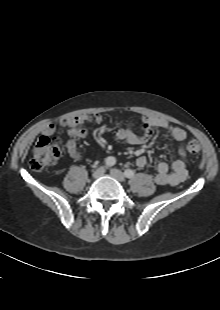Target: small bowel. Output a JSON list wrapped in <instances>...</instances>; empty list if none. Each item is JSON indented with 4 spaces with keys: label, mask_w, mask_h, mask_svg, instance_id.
<instances>
[{
    "label": "small bowel",
    "mask_w": 220,
    "mask_h": 310,
    "mask_svg": "<svg viewBox=\"0 0 220 310\" xmlns=\"http://www.w3.org/2000/svg\"><path fill=\"white\" fill-rule=\"evenodd\" d=\"M102 120V115L96 113L93 115L80 114L61 119L58 122L60 126L67 128L70 138L66 141L65 147L68 155L72 159L79 160L81 158L76 139L87 136L88 131L86 125L90 122L101 123ZM155 128L166 129L173 140L179 143V146L177 149V158H175L170 165L166 162L157 163L154 182L161 186H177L183 183L188 176V171L186 169V152L183 147V142L187 138V133L183 128L173 125L167 120L159 117L143 116L142 133L137 134L131 127L128 126L121 128L116 132V139L120 142L131 145H144L152 138ZM55 130V124H48L43 129V135L49 137L54 134ZM136 165L139 168H144L147 165L146 157H138L136 159Z\"/></svg>",
    "instance_id": "small-bowel-1"
}]
</instances>
